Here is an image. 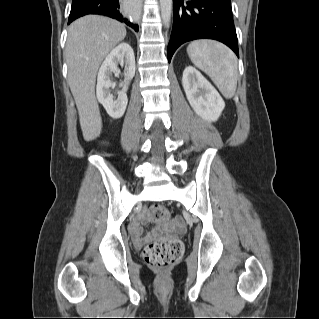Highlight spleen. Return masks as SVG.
Here are the masks:
<instances>
[{
  "instance_id": "1",
  "label": "spleen",
  "mask_w": 319,
  "mask_h": 319,
  "mask_svg": "<svg viewBox=\"0 0 319 319\" xmlns=\"http://www.w3.org/2000/svg\"><path fill=\"white\" fill-rule=\"evenodd\" d=\"M193 64L204 71L225 98L235 94L238 78L237 58L225 45L211 40H197L187 47Z\"/></svg>"
}]
</instances>
